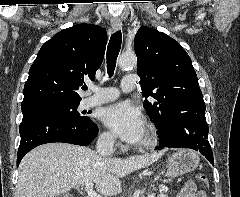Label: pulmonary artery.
Wrapping results in <instances>:
<instances>
[{
	"label": "pulmonary artery",
	"mask_w": 240,
	"mask_h": 197,
	"mask_svg": "<svg viewBox=\"0 0 240 197\" xmlns=\"http://www.w3.org/2000/svg\"><path fill=\"white\" fill-rule=\"evenodd\" d=\"M123 92H130L136 87V77L134 75H125L120 84ZM94 94L86 99V106L93 107L96 105L111 102L119 97V91L116 88H101L93 86Z\"/></svg>",
	"instance_id": "obj_1"
}]
</instances>
